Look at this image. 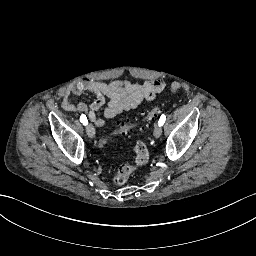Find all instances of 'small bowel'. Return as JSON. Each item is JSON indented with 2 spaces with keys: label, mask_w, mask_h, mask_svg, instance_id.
<instances>
[{
  "label": "small bowel",
  "mask_w": 256,
  "mask_h": 256,
  "mask_svg": "<svg viewBox=\"0 0 256 256\" xmlns=\"http://www.w3.org/2000/svg\"><path fill=\"white\" fill-rule=\"evenodd\" d=\"M164 88L165 83L158 79L140 83L122 80L101 82L83 79L63 88L59 96L62 100L61 106L65 111L87 114L96 126L102 127L105 125V120L97 117V112L100 109H103L106 119H112L123 111L137 108L143 102H152ZM86 91L95 95L92 104L72 101L71 95H80ZM106 99H109L108 103H106Z\"/></svg>",
  "instance_id": "small-bowel-1"
}]
</instances>
